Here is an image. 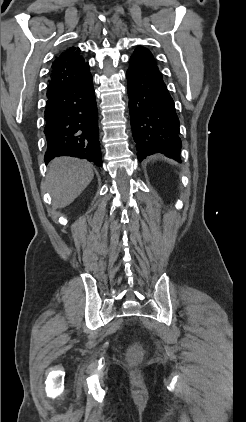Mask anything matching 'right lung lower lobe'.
I'll use <instances>...</instances> for the list:
<instances>
[{
	"mask_svg": "<svg viewBox=\"0 0 246 422\" xmlns=\"http://www.w3.org/2000/svg\"><path fill=\"white\" fill-rule=\"evenodd\" d=\"M47 98L45 162L59 156H72L102 167L92 75Z\"/></svg>",
	"mask_w": 246,
	"mask_h": 422,
	"instance_id": "1",
	"label": "right lung lower lobe"
}]
</instances>
